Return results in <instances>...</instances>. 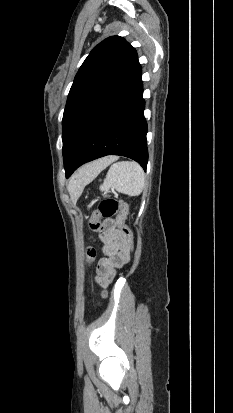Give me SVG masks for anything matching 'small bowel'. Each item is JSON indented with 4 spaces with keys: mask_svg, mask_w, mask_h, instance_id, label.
Listing matches in <instances>:
<instances>
[{
    "mask_svg": "<svg viewBox=\"0 0 233 413\" xmlns=\"http://www.w3.org/2000/svg\"><path fill=\"white\" fill-rule=\"evenodd\" d=\"M106 229L102 233V257L97 265V282L106 287L114 278L116 269L129 261L130 250L125 238L116 228V222L109 219L105 222Z\"/></svg>",
    "mask_w": 233,
    "mask_h": 413,
    "instance_id": "c3829d8e",
    "label": "small bowel"
}]
</instances>
